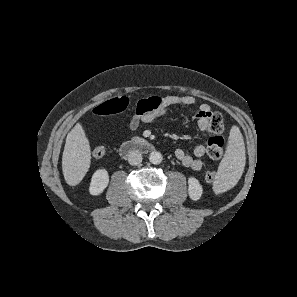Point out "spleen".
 Instances as JSON below:
<instances>
[{
	"instance_id": "1",
	"label": "spleen",
	"mask_w": 297,
	"mask_h": 297,
	"mask_svg": "<svg viewBox=\"0 0 297 297\" xmlns=\"http://www.w3.org/2000/svg\"><path fill=\"white\" fill-rule=\"evenodd\" d=\"M245 146L240 129L233 126L230 131L226 153L220 163L219 183L230 188L240 179L245 166Z\"/></svg>"
}]
</instances>
